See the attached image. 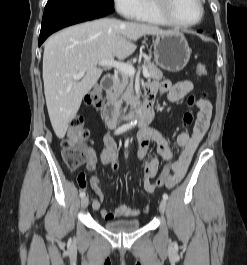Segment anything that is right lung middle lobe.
Wrapping results in <instances>:
<instances>
[{
  "mask_svg": "<svg viewBox=\"0 0 247 265\" xmlns=\"http://www.w3.org/2000/svg\"><path fill=\"white\" fill-rule=\"evenodd\" d=\"M101 1L107 2L109 4H114L113 0H101Z\"/></svg>",
  "mask_w": 247,
  "mask_h": 265,
  "instance_id": "dd1d6c3e",
  "label": "right lung middle lobe"
}]
</instances>
